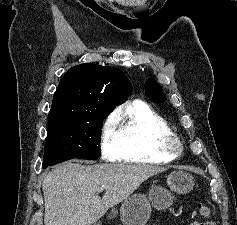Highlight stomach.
<instances>
[{
    "label": "stomach",
    "instance_id": "obj_1",
    "mask_svg": "<svg viewBox=\"0 0 237 225\" xmlns=\"http://www.w3.org/2000/svg\"><path fill=\"white\" fill-rule=\"evenodd\" d=\"M167 188L153 186L147 198L142 194L128 197L120 208V218L124 225H145L151 213V205L158 210L168 208L173 203L172 193L186 194L194 187V178L181 170L172 171L167 176Z\"/></svg>",
    "mask_w": 237,
    "mask_h": 225
}]
</instances>
